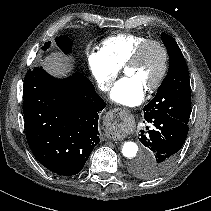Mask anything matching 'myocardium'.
<instances>
[{
	"label": "myocardium",
	"instance_id": "obj_1",
	"mask_svg": "<svg viewBox=\"0 0 211 211\" xmlns=\"http://www.w3.org/2000/svg\"><path fill=\"white\" fill-rule=\"evenodd\" d=\"M149 47H156L157 49H159L162 56V64L159 75L155 82L146 89L148 93H153L162 86L169 68V53L166 46L160 40L146 39L141 44H139L137 48L133 51L131 56L128 58V60L125 62L124 70L129 66L135 65Z\"/></svg>",
	"mask_w": 211,
	"mask_h": 211
}]
</instances>
